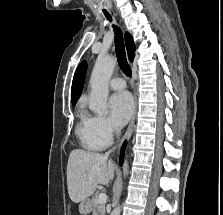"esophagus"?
I'll return each instance as SVG.
<instances>
[{"mask_svg":"<svg viewBox=\"0 0 223 215\" xmlns=\"http://www.w3.org/2000/svg\"><path fill=\"white\" fill-rule=\"evenodd\" d=\"M136 114H137V97L135 96L133 116H132V118L129 122L126 134L124 135L121 144L125 140H129V138L131 137V134H132V131H133V126H134V123H135ZM121 144L119 145L118 150L120 149Z\"/></svg>","mask_w":223,"mask_h":215,"instance_id":"esophagus-1","label":"esophagus"}]
</instances>
